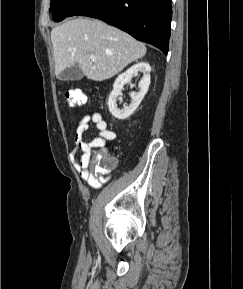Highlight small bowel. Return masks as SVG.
I'll return each instance as SVG.
<instances>
[{"label":"small bowel","instance_id":"small-bowel-1","mask_svg":"<svg viewBox=\"0 0 243 289\" xmlns=\"http://www.w3.org/2000/svg\"><path fill=\"white\" fill-rule=\"evenodd\" d=\"M93 123L98 131L97 136L91 141L84 140V134ZM116 138V133L108 128V124L102 114L93 112L82 117L74 134L75 148L72 152V160L80 178L90 187L98 189L107 181V178L98 176L90 168V158L92 149L99 148L105 152L106 145Z\"/></svg>","mask_w":243,"mask_h":289}]
</instances>
